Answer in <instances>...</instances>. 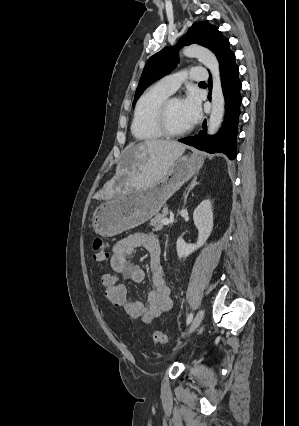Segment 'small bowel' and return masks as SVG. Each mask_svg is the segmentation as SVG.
I'll return each mask as SVG.
<instances>
[{"mask_svg":"<svg viewBox=\"0 0 299 426\" xmlns=\"http://www.w3.org/2000/svg\"><path fill=\"white\" fill-rule=\"evenodd\" d=\"M143 247L149 253L150 272L154 289L147 293L146 303L126 300L125 312L134 319L149 323L172 308L171 290L164 279L159 238L154 233H135L118 241L112 250L110 266L124 281L141 284L145 279L143 268L132 262L135 249Z\"/></svg>","mask_w":299,"mask_h":426,"instance_id":"obj_1","label":"small bowel"}]
</instances>
